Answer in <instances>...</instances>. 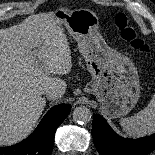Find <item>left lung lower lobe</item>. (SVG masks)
I'll list each match as a JSON object with an SVG mask.
<instances>
[{
	"mask_svg": "<svg viewBox=\"0 0 155 155\" xmlns=\"http://www.w3.org/2000/svg\"><path fill=\"white\" fill-rule=\"evenodd\" d=\"M92 137L101 155H147L155 149V134L139 139L120 137L97 114L93 115Z\"/></svg>",
	"mask_w": 155,
	"mask_h": 155,
	"instance_id": "obj_1",
	"label": "left lung lower lobe"
}]
</instances>
